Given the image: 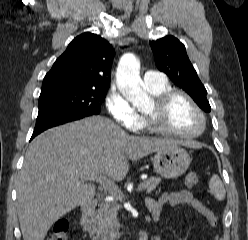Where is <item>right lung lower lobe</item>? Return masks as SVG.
I'll use <instances>...</instances> for the list:
<instances>
[{
	"instance_id": "1",
	"label": "right lung lower lobe",
	"mask_w": 248,
	"mask_h": 240,
	"mask_svg": "<svg viewBox=\"0 0 248 240\" xmlns=\"http://www.w3.org/2000/svg\"><path fill=\"white\" fill-rule=\"evenodd\" d=\"M85 116L80 115H59V114H50V115H38L36 120V125L31 139L43 132L44 130L58 126L70 121L81 119Z\"/></svg>"
}]
</instances>
